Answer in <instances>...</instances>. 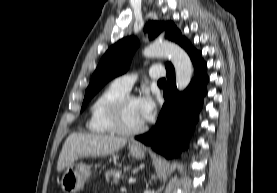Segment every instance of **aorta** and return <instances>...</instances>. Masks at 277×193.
I'll return each mask as SVG.
<instances>
[{
  "instance_id": "762f6f07",
  "label": "aorta",
  "mask_w": 277,
  "mask_h": 193,
  "mask_svg": "<svg viewBox=\"0 0 277 193\" xmlns=\"http://www.w3.org/2000/svg\"><path fill=\"white\" fill-rule=\"evenodd\" d=\"M145 57H168L176 73L177 89L182 91L189 85L193 67L188 54L177 44L171 42H155L143 51Z\"/></svg>"
}]
</instances>
